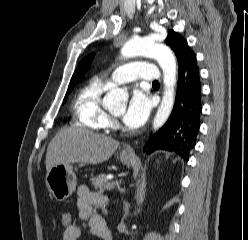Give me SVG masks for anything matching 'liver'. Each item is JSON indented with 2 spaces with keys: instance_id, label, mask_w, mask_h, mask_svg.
Segmentation results:
<instances>
[{
  "instance_id": "6515ba94",
  "label": "liver",
  "mask_w": 248,
  "mask_h": 240,
  "mask_svg": "<svg viewBox=\"0 0 248 240\" xmlns=\"http://www.w3.org/2000/svg\"><path fill=\"white\" fill-rule=\"evenodd\" d=\"M119 146L111 137L83 129L61 130L50 142L46 170L58 164H99L107 161Z\"/></svg>"
}]
</instances>
